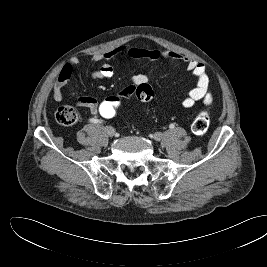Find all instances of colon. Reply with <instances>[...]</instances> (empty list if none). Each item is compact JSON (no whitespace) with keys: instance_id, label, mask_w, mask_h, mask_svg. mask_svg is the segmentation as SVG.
I'll use <instances>...</instances> for the list:
<instances>
[{"instance_id":"1","label":"colon","mask_w":267,"mask_h":267,"mask_svg":"<svg viewBox=\"0 0 267 267\" xmlns=\"http://www.w3.org/2000/svg\"><path fill=\"white\" fill-rule=\"evenodd\" d=\"M134 93L141 102H149L155 95L153 88L146 83L138 85ZM124 101L125 99L118 92L108 95L99 102L97 112L105 119H113L124 107ZM54 118L61 125L70 126L77 122L78 113L71 106H62L54 112ZM209 125V113L207 110H201L192 123V131L196 135H203Z\"/></svg>"}]
</instances>
